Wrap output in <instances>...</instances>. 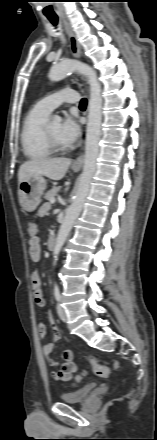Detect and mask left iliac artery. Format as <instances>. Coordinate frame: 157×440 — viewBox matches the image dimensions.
Listing matches in <instances>:
<instances>
[{
    "label": "left iliac artery",
    "mask_w": 157,
    "mask_h": 440,
    "mask_svg": "<svg viewBox=\"0 0 157 440\" xmlns=\"http://www.w3.org/2000/svg\"><path fill=\"white\" fill-rule=\"evenodd\" d=\"M54 296L56 298L57 301L60 300V290L57 284L54 285Z\"/></svg>",
    "instance_id": "obj_1"
}]
</instances>
